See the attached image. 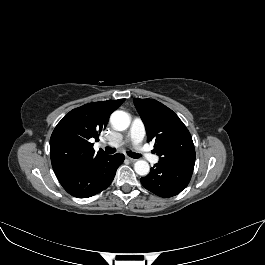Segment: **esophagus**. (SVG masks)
<instances>
[{
	"instance_id": "34e87169",
	"label": "esophagus",
	"mask_w": 265,
	"mask_h": 265,
	"mask_svg": "<svg viewBox=\"0 0 265 265\" xmlns=\"http://www.w3.org/2000/svg\"><path fill=\"white\" fill-rule=\"evenodd\" d=\"M128 158V160L130 161V162H135L136 161V159H134V158H131V157H127Z\"/></svg>"
}]
</instances>
